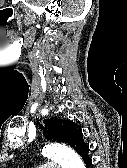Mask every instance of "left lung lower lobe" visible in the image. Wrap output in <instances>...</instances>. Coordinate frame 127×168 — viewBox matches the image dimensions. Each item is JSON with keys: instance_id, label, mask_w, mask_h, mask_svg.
<instances>
[{"instance_id": "0a47b994", "label": "left lung lower lobe", "mask_w": 127, "mask_h": 168, "mask_svg": "<svg viewBox=\"0 0 127 168\" xmlns=\"http://www.w3.org/2000/svg\"><path fill=\"white\" fill-rule=\"evenodd\" d=\"M77 152L80 154L87 167L92 165V160L88 155L89 146L85 142L82 143V145L78 148Z\"/></svg>"}]
</instances>
